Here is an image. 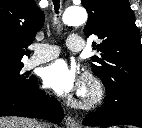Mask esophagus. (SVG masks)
Instances as JSON below:
<instances>
[{"label":"esophagus","mask_w":142,"mask_h":128,"mask_svg":"<svg viewBox=\"0 0 142 128\" xmlns=\"http://www.w3.org/2000/svg\"><path fill=\"white\" fill-rule=\"evenodd\" d=\"M65 124L67 128H81L80 124L76 121V119L71 116H66Z\"/></svg>","instance_id":"esophagus-1"}]
</instances>
